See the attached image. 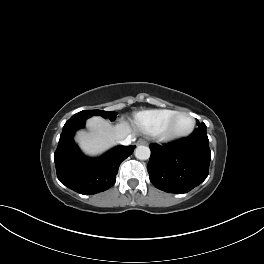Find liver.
<instances>
[{"label":"liver","instance_id":"1","mask_svg":"<svg viewBox=\"0 0 264 264\" xmlns=\"http://www.w3.org/2000/svg\"><path fill=\"white\" fill-rule=\"evenodd\" d=\"M87 128L88 132L83 130L77 132L76 141L80 148L89 155L105 151L132 132L130 126L125 122L112 126L99 116L88 119Z\"/></svg>","mask_w":264,"mask_h":264}]
</instances>
